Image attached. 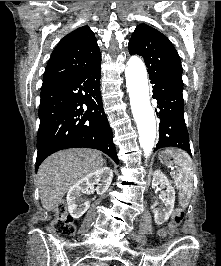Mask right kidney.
<instances>
[{"label": "right kidney", "instance_id": "right-kidney-1", "mask_svg": "<svg viewBox=\"0 0 221 266\" xmlns=\"http://www.w3.org/2000/svg\"><path fill=\"white\" fill-rule=\"evenodd\" d=\"M113 178V171L109 167H103L89 173L77 183L71 186L67 193V205L71 216L75 219L80 218L90 207L89 202L79 204L82 199L81 193H86L89 189H94L97 193H104L109 188Z\"/></svg>", "mask_w": 221, "mask_h": 266}]
</instances>
